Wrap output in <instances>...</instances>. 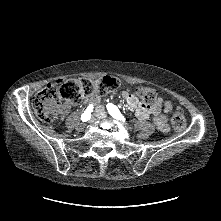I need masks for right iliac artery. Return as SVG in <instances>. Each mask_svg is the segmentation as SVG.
Masks as SVG:
<instances>
[{
    "mask_svg": "<svg viewBox=\"0 0 221 221\" xmlns=\"http://www.w3.org/2000/svg\"><path fill=\"white\" fill-rule=\"evenodd\" d=\"M93 111V106L89 105L85 112L81 116L82 121H88L91 118V112Z\"/></svg>",
    "mask_w": 221,
    "mask_h": 221,
    "instance_id": "82829eb1",
    "label": "right iliac artery"
}]
</instances>
